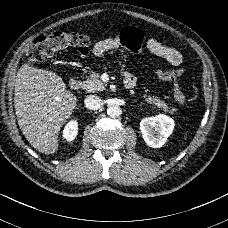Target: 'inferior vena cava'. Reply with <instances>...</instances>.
I'll list each match as a JSON object with an SVG mask.
<instances>
[{
	"instance_id": "602c4592",
	"label": "inferior vena cava",
	"mask_w": 228,
	"mask_h": 228,
	"mask_svg": "<svg viewBox=\"0 0 228 228\" xmlns=\"http://www.w3.org/2000/svg\"><path fill=\"white\" fill-rule=\"evenodd\" d=\"M84 104L88 110L94 111L102 107L103 100L98 96L91 95L85 98Z\"/></svg>"
}]
</instances>
